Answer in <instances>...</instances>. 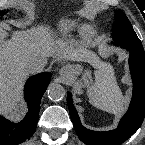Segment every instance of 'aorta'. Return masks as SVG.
<instances>
[{
    "label": "aorta",
    "instance_id": "762f6f07",
    "mask_svg": "<svg viewBox=\"0 0 145 145\" xmlns=\"http://www.w3.org/2000/svg\"><path fill=\"white\" fill-rule=\"evenodd\" d=\"M48 98L51 101L58 102L65 96V89L62 85L57 83H51L47 89Z\"/></svg>",
    "mask_w": 145,
    "mask_h": 145
}]
</instances>
